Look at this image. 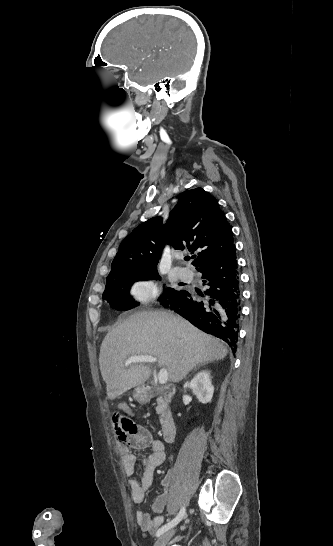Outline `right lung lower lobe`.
Returning <instances> with one entry per match:
<instances>
[{"mask_svg": "<svg viewBox=\"0 0 333 546\" xmlns=\"http://www.w3.org/2000/svg\"><path fill=\"white\" fill-rule=\"evenodd\" d=\"M203 275V285L208 289L197 299L185 290L175 291L169 298L160 300L194 326L214 335L232 348L235 353L241 311L240 279L237 270L235 246L214 261L198 270Z\"/></svg>", "mask_w": 333, "mask_h": 546, "instance_id": "98d812e1", "label": "right lung lower lobe"}]
</instances>
